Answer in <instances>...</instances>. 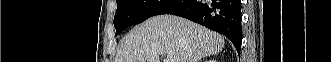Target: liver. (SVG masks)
Masks as SVG:
<instances>
[{"mask_svg":"<svg viewBox=\"0 0 331 62\" xmlns=\"http://www.w3.org/2000/svg\"><path fill=\"white\" fill-rule=\"evenodd\" d=\"M224 38L189 20L173 15L152 17L132 29L123 39L114 62H160L172 54L176 62H199L219 53Z\"/></svg>","mask_w":331,"mask_h":62,"instance_id":"6515ba94","label":"liver"}]
</instances>
